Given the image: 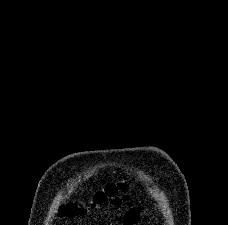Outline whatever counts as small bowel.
I'll return each mask as SVG.
<instances>
[{"label": "small bowel", "mask_w": 228, "mask_h": 225, "mask_svg": "<svg viewBox=\"0 0 228 225\" xmlns=\"http://www.w3.org/2000/svg\"><path fill=\"white\" fill-rule=\"evenodd\" d=\"M140 211L141 208L137 207L136 209H131L128 213H126L124 218V225H138V222H136V220L139 217Z\"/></svg>", "instance_id": "obj_1"}]
</instances>
